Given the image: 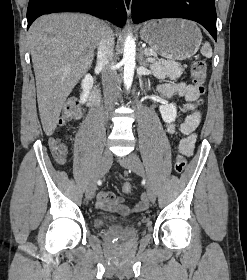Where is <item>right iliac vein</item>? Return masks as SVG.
I'll use <instances>...</instances> for the list:
<instances>
[{
    "instance_id": "1",
    "label": "right iliac vein",
    "mask_w": 247,
    "mask_h": 280,
    "mask_svg": "<svg viewBox=\"0 0 247 280\" xmlns=\"http://www.w3.org/2000/svg\"><path fill=\"white\" fill-rule=\"evenodd\" d=\"M111 164L112 154L109 150H106L102 154L95 176L86 190L87 199L91 200L94 197L95 191L97 189V181L102 178L104 174L109 170Z\"/></svg>"
}]
</instances>
